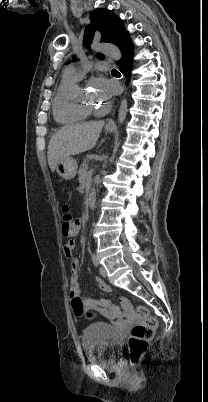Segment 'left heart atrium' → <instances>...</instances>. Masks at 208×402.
Returning a JSON list of instances; mask_svg holds the SVG:
<instances>
[{
  "instance_id": "1",
  "label": "left heart atrium",
  "mask_w": 208,
  "mask_h": 402,
  "mask_svg": "<svg viewBox=\"0 0 208 402\" xmlns=\"http://www.w3.org/2000/svg\"><path fill=\"white\" fill-rule=\"evenodd\" d=\"M98 86L100 91L102 92L101 99H107L114 92L113 83L106 79H98Z\"/></svg>"
}]
</instances>
